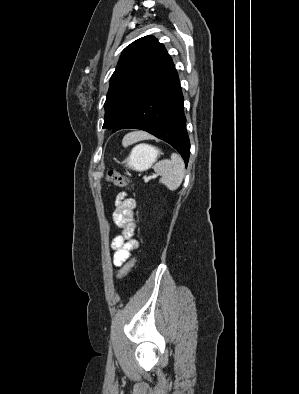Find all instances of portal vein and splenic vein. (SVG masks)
I'll use <instances>...</instances> for the list:
<instances>
[{"mask_svg": "<svg viewBox=\"0 0 299 394\" xmlns=\"http://www.w3.org/2000/svg\"><path fill=\"white\" fill-rule=\"evenodd\" d=\"M156 177H157V175H156V174H154V175H152V176H150V177L146 178V179H145V181H148V180H149V178H156Z\"/></svg>", "mask_w": 299, "mask_h": 394, "instance_id": "1", "label": "portal vein and splenic vein"}]
</instances>
